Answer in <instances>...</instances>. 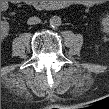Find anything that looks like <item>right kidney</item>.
<instances>
[{
  "mask_svg": "<svg viewBox=\"0 0 109 109\" xmlns=\"http://www.w3.org/2000/svg\"><path fill=\"white\" fill-rule=\"evenodd\" d=\"M8 31H9L8 23H6V24L3 23V25H2V36H3V38L7 36Z\"/></svg>",
  "mask_w": 109,
  "mask_h": 109,
  "instance_id": "ca27d5eb",
  "label": "right kidney"
}]
</instances>
